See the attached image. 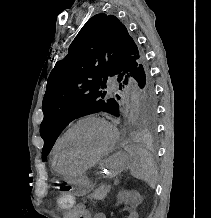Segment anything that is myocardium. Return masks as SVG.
Wrapping results in <instances>:
<instances>
[{
	"label": "myocardium",
	"mask_w": 211,
	"mask_h": 218,
	"mask_svg": "<svg viewBox=\"0 0 211 218\" xmlns=\"http://www.w3.org/2000/svg\"><path fill=\"white\" fill-rule=\"evenodd\" d=\"M89 121H101L104 124H106L108 126V128L111 131L112 134V141L110 143V145L108 146V148L103 151L102 153H100L96 158H94L92 161L88 162V163H84V164H78L77 168H81V169H86L89 167L94 166L95 164H97L99 161H101L102 159H104L105 157H107L108 155H110L118 142V133L117 130L115 129V127L110 124L107 120H105L103 117L101 116H97V115H89V116H84L80 119H78L77 121H75L73 124H71L61 135V137L59 138V140L57 141V144L55 146V150H54V158L55 160H58L59 163H62L60 161V147L64 141V139L66 138V136L76 127H78L79 125L85 123V122H89Z\"/></svg>",
	"instance_id": "obj_1"
}]
</instances>
